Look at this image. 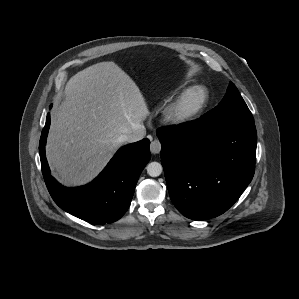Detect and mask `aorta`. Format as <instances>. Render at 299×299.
Returning <instances> with one entry per match:
<instances>
[{"mask_svg":"<svg viewBox=\"0 0 299 299\" xmlns=\"http://www.w3.org/2000/svg\"><path fill=\"white\" fill-rule=\"evenodd\" d=\"M162 165L159 162H151L147 165V173L151 177H157L162 173Z\"/></svg>","mask_w":299,"mask_h":299,"instance_id":"aorta-1","label":"aorta"}]
</instances>
